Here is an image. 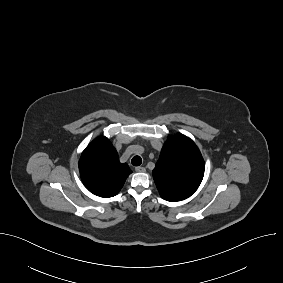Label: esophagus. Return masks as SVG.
<instances>
[{
	"mask_svg": "<svg viewBox=\"0 0 283 283\" xmlns=\"http://www.w3.org/2000/svg\"><path fill=\"white\" fill-rule=\"evenodd\" d=\"M145 170L146 169L144 167H141V166H138V167L135 168L136 172H145Z\"/></svg>",
	"mask_w": 283,
	"mask_h": 283,
	"instance_id": "esophagus-1",
	"label": "esophagus"
}]
</instances>
